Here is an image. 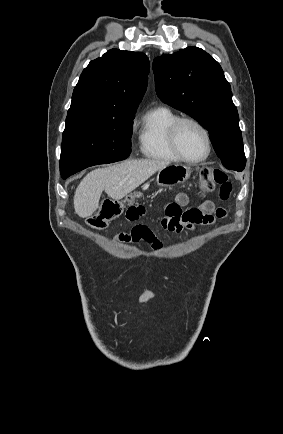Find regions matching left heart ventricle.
Segmentation results:
<instances>
[{"mask_svg":"<svg viewBox=\"0 0 283 434\" xmlns=\"http://www.w3.org/2000/svg\"><path fill=\"white\" fill-rule=\"evenodd\" d=\"M178 144L181 152L188 158H199L206 152L204 135L198 127L184 123L178 131Z\"/></svg>","mask_w":283,"mask_h":434,"instance_id":"b2bd125f","label":"left heart ventricle"}]
</instances>
